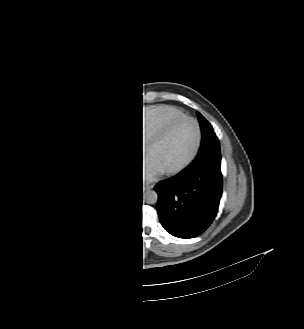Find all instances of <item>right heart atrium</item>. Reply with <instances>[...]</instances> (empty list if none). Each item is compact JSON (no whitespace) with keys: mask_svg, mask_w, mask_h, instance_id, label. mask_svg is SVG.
Here are the masks:
<instances>
[{"mask_svg":"<svg viewBox=\"0 0 304 329\" xmlns=\"http://www.w3.org/2000/svg\"><path fill=\"white\" fill-rule=\"evenodd\" d=\"M114 149L122 161L128 166H137L142 161V151L133 146L129 136L124 131H118L114 135Z\"/></svg>","mask_w":304,"mask_h":329,"instance_id":"d8ad5b80","label":"right heart atrium"}]
</instances>
